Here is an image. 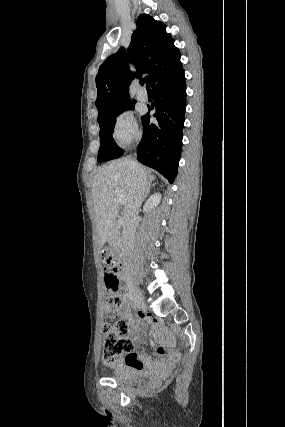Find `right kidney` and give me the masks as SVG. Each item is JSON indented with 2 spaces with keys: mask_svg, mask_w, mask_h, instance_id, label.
Returning a JSON list of instances; mask_svg holds the SVG:
<instances>
[{
  "mask_svg": "<svg viewBox=\"0 0 285 427\" xmlns=\"http://www.w3.org/2000/svg\"><path fill=\"white\" fill-rule=\"evenodd\" d=\"M161 200V194L160 193H155L153 194L146 202L145 206H144V212H148L151 209H153L154 207H156Z\"/></svg>",
  "mask_w": 285,
  "mask_h": 427,
  "instance_id": "obj_1",
  "label": "right kidney"
}]
</instances>
